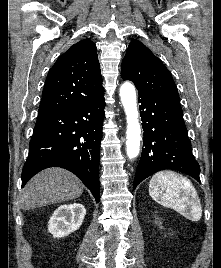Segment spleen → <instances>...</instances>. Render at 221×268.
Listing matches in <instances>:
<instances>
[{
    "label": "spleen",
    "instance_id": "3e777b00",
    "mask_svg": "<svg viewBox=\"0 0 221 268\" xmlns=\"http://www.w3.org/2000/svg\"><path fill=\"white\" fill-rule=\"evenodd\" d=\"M149 195L157 203L173 209L191 221H198L202 207L197 191L187 177L174 171H159L149 183Z\"/></svg>",
    "mask_w": 221,
    "mask_h": 268
}]
</instances>
